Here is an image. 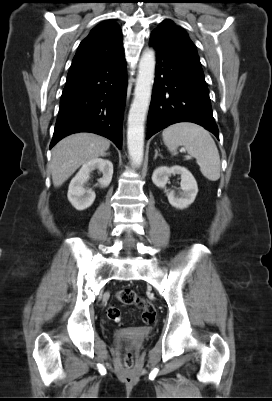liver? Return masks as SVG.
Returning a JSON list of instances; mask_svg holds the SVG:
<instances>
[{
  "label": "liver",
  "instance_id": "1",
  "mask_svg": "<svg viewBox=\"0 0 272 401\" xmlns=\"http://www.w3.org/2000/svg\"><path fill=\"white\" fill-rule=\"evenodd\" d=\"M110 141L94 133H76L52 149L51 173L55 187L61 186L81 165L104 156Z\"/></svg>",
  "mask_w": 272,
  "mask_h": 401
}]
</instances>
